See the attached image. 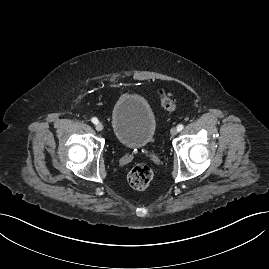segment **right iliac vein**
I'll return each mask as SVG.
<instances>
[{
  "mask_svg": "<svg viewBox=\"0 0 269 269\" xmlns=\"http://www.w3.org/2000/svg\"><path fill=\"white\" fill-rule=\"evenodd\" d=\"M97 131H102L103 130V125L101 123H97L95 126Z\"/></svg>",
  "mask_w": 269,
  "mask_h": 269,
  "instance_id": "obj_1",
  "label": "right iliac vein"
}]
</instances>
